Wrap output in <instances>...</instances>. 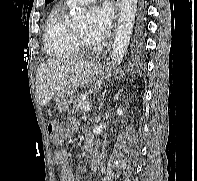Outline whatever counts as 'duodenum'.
<instances>
[{
	"instance_id": "obj_1",
	"label": "duodenum",
	"mask_w": 197,
	"mask_h": 181,
	"mask_svg": "<svg viewBox=\"0 0 197 181\" xmlns=\"http://www.w3.org/2000/svg\"><path fill=\"white\" fill-rule=\"evenodd\" d=\"M86 144H87V150L91 154L94 149V139L91 134H88L86 137Z\"/></svg>"
}]
</instances>
